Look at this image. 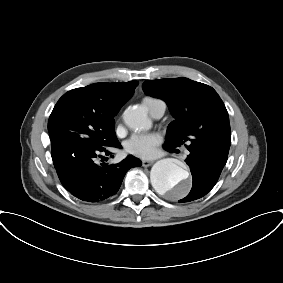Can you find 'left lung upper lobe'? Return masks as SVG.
Listing matches in <instances>:
<instances>
[{
	"label": "left lung upper lobe",
	"instance_id": "left-lung-upper-lobe-1",
	"mask_svg": "<svg viewBox=\"0 0 283 283\" xmlns=\"http://www.w3.org/2000/svg\"><path fill=\"white\" fill-rule=\"evenodd\" d=\"M147 95L163 98L175 118L167 129L164 146L185 145L211 159L227 160L231 145L229 116L216 91L187 78L146 80Z\"/></svg>",
	"mask_w": 283,
	"mask_h": 283
}]
</instances>
